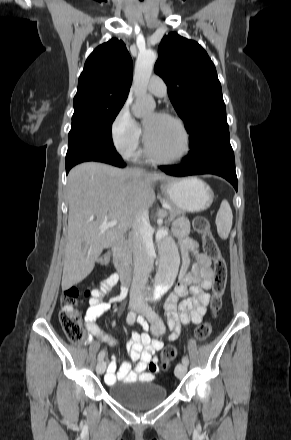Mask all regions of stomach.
<instances>
[{"instance_id": "1", "label": "stomach", "mask_w": 291, "mask_h": 440, "mask_svg": "<svg viewBox=\"0 0 291 440\" xmlns=\"http://www.w3.org/2000/svg\"><path fill=\"white\" fill-rule=\"evenodd\" d=\"M167 201L186 212H200L208 209L214 199L211 187L197 177L170 179L161 185Z\"/></svg>"}]
</instances>
